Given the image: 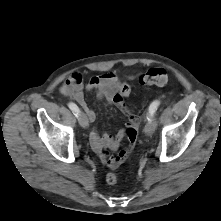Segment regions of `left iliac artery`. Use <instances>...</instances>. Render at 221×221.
Instances as JSON below:
<instances>
[{
  "instance_id": "1",
  "label": "left iliac artery",
  "mask_w": 221,
  "mask_h": 221,
  "mask_svg": "<svg viewBox=\"0 0 221 221\" xmlns=\"http://www.w3.org/2000/svg\"><path fill=\"white\" fill-rule=\"evenodd\" d=\"M159 105H160L159 100H155L151 103V105L149 106V115H150V117L155 114V112L157 111V108L159 107ZM148 120H150V118H148Z\"/></svg>"
}]
</instances>
